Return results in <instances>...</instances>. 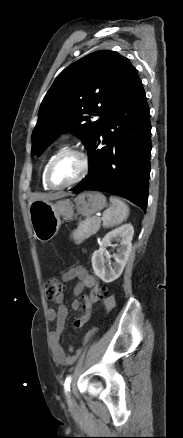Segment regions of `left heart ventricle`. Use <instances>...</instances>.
Wrapping results in <instances>:
<instances>
[{
    "label": "left heart ventricle",
    "instance_id": "1",
    "mask_svg": "<svg viewBox=\"0 0 183 438\" xmlns=\"http://www.w3.org/2000/svg\"><path fill=\"white\" fill-rule=\"evenodd\" d=\"M80 169L81 163L77 156L62 157L52 167L51 182L55 185L66 184L79 174Z\"/></svg>",
    "mask_w": 183,
    "mask_h": 438
}]
</instances>
